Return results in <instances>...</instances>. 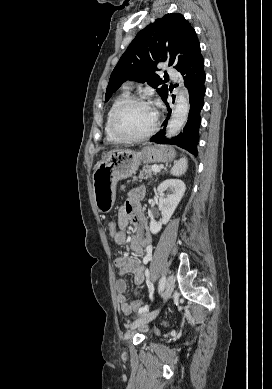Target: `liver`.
I'll list each match as a JSON object with an SVG mask.
<instances>
[{"label":"liver","mask_w":272,"mask_h":389,"mask_svg":"<svg viewBox=\"0 0 272 389\" xmlns=\"http://www.w3.org/2000/svg\"><path fill=\"white\" fill-rule=\"evenodd\" d=\"M116 151H121V150H113V151H110L109 153H108V155H110V154H112V153H114V152H116ZM107 155V156H108Z\"/></svg>","instance_id":"6515ba94"}]
</instances>
